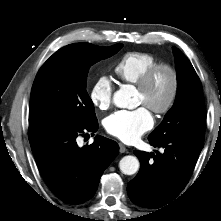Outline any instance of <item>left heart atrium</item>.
Segmentation results:
<instances>
[{"label": "left heart atrium", "mask_w": 221, "mask_h": 221, "mask_svg": "<svg viewBox=\"0 0 221 221\" xmlns=\"http://www.w3.org/2000/svg\"><path fill=\"white\" fill-rule=\"evenodd\" d=\"M104 126L109 134L132 143L153 126V117L144 106L134 110H119L105 119Z\"/></svg>", "instance_id": "obj_1"}]
</instances>
